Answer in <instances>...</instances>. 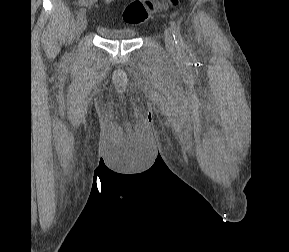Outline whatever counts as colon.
I'll return each instance as SVG.
<instances>
[{"mask_svg": "<svg viewBox=\"0 0 289 252\" xmlns=\"http://www.w3.org/2000/svg\"><path fill=\"white\" fill-rule=\"evenodd\" d=\"M180 0H132L123 11V20L129 24H141L152 15L176 8Z\"/></svg>", "mask_w": 289, "mask_h": 252, "instance_id": "5ec220e1", "label": "colon"}]
</instances>
